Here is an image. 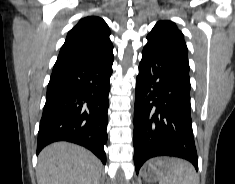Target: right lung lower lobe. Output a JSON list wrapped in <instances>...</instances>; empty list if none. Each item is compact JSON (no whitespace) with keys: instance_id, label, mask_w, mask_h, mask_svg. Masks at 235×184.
Returning a JSON list of instances; mask_svg holds the SVG:
<instances>
[{"instance_id":"98d812e1","label":"right lung lower lobe","mask_w":235,"mask_h":184,"mask_svg":"<svg viewBox=\"0 0 235 184\" xmlns=\"http://www.w3.org/2000/svg\"><path fill=\"white\" fill-rule=\"evenodd\" d=\"M113 60L55 63L40 121L37 154L50 143L68 141L86 147L106 163Z\"/></svg>"}]
</instances>
